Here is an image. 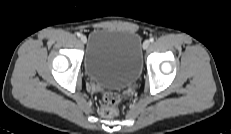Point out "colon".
I'll list each match as a JSON object with an SVG mask.
<instances>
[{
	"mask_svg": "<svg viewBox=\"0 0 231 134\" xmlns=\"http://www.w3.org/2000/svg\"><path fill=\"white\" fill-rule=\"evenodd\" d=\"M122 99V95L117 92L107 91L103 93L99 102L100 114L107 118L115 117L119 112Z\"/></svg>",
	"mask_w": 231,
	"mask_h": 134,
	"instance_id": "colon-1",
	"label": "colon"
}]
</instances>
